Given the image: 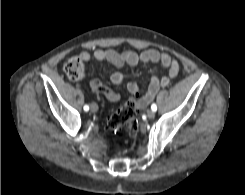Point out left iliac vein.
Returning a JSON list of instances; mask_svg holds the SVG:
<instances>
[{
    "mask_svg": "<svg viewBox=\"0 0 245 195\" xmlns=\"http://www.w3.org/2000/svg\"><path fill=\"white\" fill-rule=\"evenodd\" d=\"M147 115L149 118H154L155 117V112L153 110H148Z\"/></svg>",
    "mask_w": 245,
    "mask_h": 195,
    "instance_id": "left-iliac-vein-1",
    "label": "left iliac vein"
}]
</instances>
